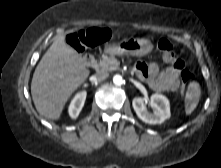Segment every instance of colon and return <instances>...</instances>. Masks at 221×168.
I'll return each instance as SVG.
<instances>
[{
  "instance_id": "1",
  "label": "colon",
  "mask_w": 221,
  "mask_h": 168,
  "mask_svg": "<svg viewBox=\"0 0 221 168\" xmlns=\"http://www.w3.org/2000/svg\"><path fill=\"white\" fill-rule=\"evenodd\" d=\"M110 37V31L107 28H91L82 30L76 33H72L68 36L67 42L70 46L78 51H84L90 47H93L103 41H106ZM158 48L164 52L169 53L172 50V44L169 40L162 38L158 41ZM194 75L185 69L182 79V87L189 84L194 80ZM185 88L181 89V94H184Z\"/></svg>"
}]
</instances>
